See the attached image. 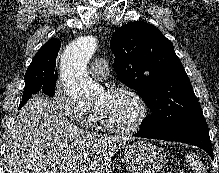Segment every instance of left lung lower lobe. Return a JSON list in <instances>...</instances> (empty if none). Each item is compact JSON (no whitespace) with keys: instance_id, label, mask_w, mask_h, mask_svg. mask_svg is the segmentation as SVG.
Segmentation results:
<instances>
[{"instance_id":"1","label":"left lung lower lobe","mask_w":219,"mask_h":173,"mask_svg":"<svg viewBox=\"0 0 219 173\" xmlns=\"http://www.w3.org/2000/svg\"><path fill=\"white\" fill-rule=\"evenodd\" d=\"M134 136L190 143L205 150L213 159L209 130L205 120L188 122L159 134H150L139 131L137 134H134Z\"/></svg>"}]
</instances>
